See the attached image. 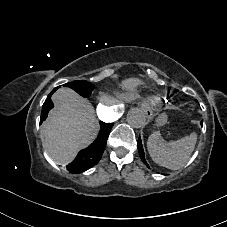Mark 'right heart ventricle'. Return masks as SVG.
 Returning <instances> with one entry per match:
<instances>
[{"label":"right heart ventricle","mask_w":227,"mask_h":227,"mask_svg":"<svg viewBox=\"0 0 227 227\" xmlns=\"http://www.w3.org/2000/svg\"><path fill=\"white\" fill-rule=\"evenodd\" d=\"M125 98H127V99H129V100H135V99H137L136 96H126Z\"/></svg>","instance_id":"obj_1"}]
</instances>
